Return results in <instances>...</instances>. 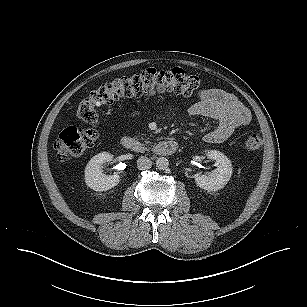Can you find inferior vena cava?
Here are the masks:
<instances>
[{
  "label": "inferior vena cava",
  "mask_w": 307,
  "mask_h": 307,
  "mask_svg": "<svg viewBox=\"0 0 307 307\" xmlns=\"http://www.w3.org/2000/svg\"><path fill=\"white\" fill-rule=\"evenodd\" d=\"M137 166L140 170L150 169L152 167V161L146 156H141L137 160Z\"/></svg>",
  "instance_id": "602c4592"
}]
</instances>
